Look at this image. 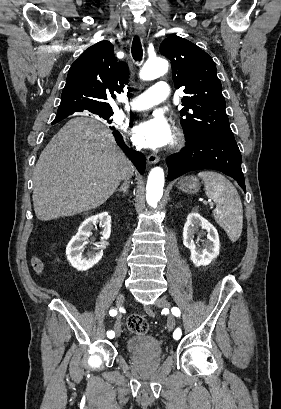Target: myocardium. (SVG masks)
<instances>
[{
    "label": "myocardium",
    "mask_w": 281,
    "mask_h": 409,
    "mask_svg": "<svg viewBox=\"0 0 281 409\" xmlns=\"http://www.w3.org/2000/svg\"><path fill=\"white\" fill-rule=\"evenodd\" d=\"M184 142V134L181 130L176 129L173 132L172 139L170 141V149H178Z\"/></svg>",
    "instance_id": "myocardium-1"
}]
</instances>
